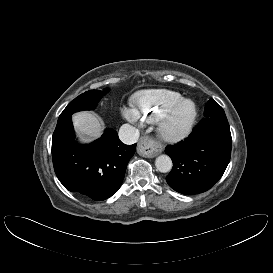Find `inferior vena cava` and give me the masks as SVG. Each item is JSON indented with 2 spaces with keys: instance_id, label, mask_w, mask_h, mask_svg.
<instances>
[{
  "instance_id": "1",
  "label": "inferior vena cava",
  "mask_w": 273,
  "mask_h": 273,
  "mask_svg": "<svg viewBox=\"0 0 273 273\" xmlns=\"http://www.w3.org/2000/svg\"><path fill=\"white\" fill-rule=\"evenodd\" d=\"M119 138L125 144H134L138 141L139 130L129 124H123L119 129Z\"/></svg>"
}]
</instances>
